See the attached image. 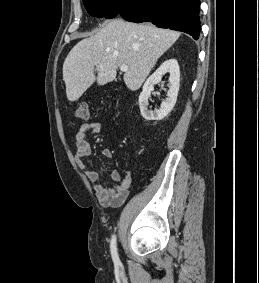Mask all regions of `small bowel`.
<instances>
[{
    "mask_svg": "<svg viewBox=\"0 0 259 283\" xmlns=\"http://www.w3.org/2000/svg\"><path fill=\"white\" fill-rule=\"evenodd\" d=\"M101 124L99 122H91L82 124L75 134V161L77 166L83 171L85 176L92 182H95L94 191L99 202L103 206H117L122 204L129 194V189L132 182L131 171H127L122 175L119 170H113L110 174V180L114 183L113 186H106L102 183H97L100 179V173L92 170L85 163L84 159L91 153L88 135H94L100 132ZM102 155L106 158L113 157V151L109 148H103Z\"/></svg>",
    "mask_w": 259,
    "mask_h": 283,
    "instance_id": "small-bowel-1",
    "label": "small bowel"
}]
</instances>
